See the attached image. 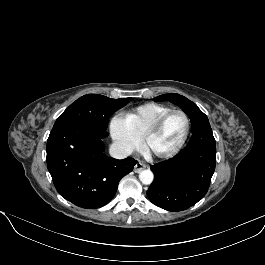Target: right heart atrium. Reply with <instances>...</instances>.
<instances>
[{"instance_id": "obj_1", "label": "right heart atrium", "mask_w": 265, "mask_h": 265, "mask_svg": "<svg viewBox=\"0 0 265 265\" xmlns=\"http://www.w3.org/2000/svg\"><path fill=\"white\" fill-rule=\"evenodd\" d=\"M109 130L118 149L125 153L134 151L140 143L138 138L127 126L123 117L115 115L110 119Z\"/></svg>"}]
</instances>
